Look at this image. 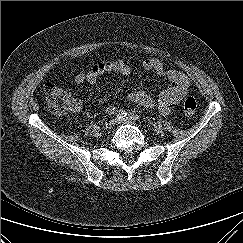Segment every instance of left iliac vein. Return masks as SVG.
I'll use <instances>...</instances> for the list:
<instances>
[{"instance_id": "obj_1", "label": "left iliac vein", "mask_w": 243, "mask_h": 243, "mask_svg": "<svg viewBox=\"0 0 243 243\" xmlns=\"http://www.w3.org/2000/svg\"><path fill=\"white\" fill-rule=\"evenodd\" d=\"M116 123L118 124H132L133 122L129 120L128 118L117 120Z\"/></svg>"}]
</instances>
